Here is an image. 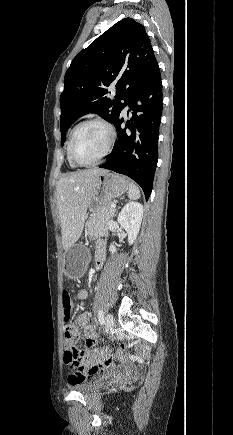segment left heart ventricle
Masks as SVG:
<instances>
[{"instance_id":"1","label":"left heart ventricle","mask_w":233,"mask_h":435,"mask_svg":"<svg viewBox=\"0 0 233 435\" xmlns=\"http://www.w3.org/2000/svg\"><path fill=\"white\" fill-rule=\"evenodd\" d=\"M108 140L104 127L97 124L82 126L75 134L73 152L82 163L92 162L103 152Z\"/></svg>"}]
</instances>
